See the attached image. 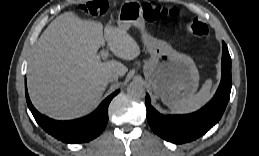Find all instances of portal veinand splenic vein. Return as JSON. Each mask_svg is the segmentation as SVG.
<instances>
[{
    "label": "portal vein and splenic vein",
    "instance_id": "obj_1",
    "mask_svg": "<svg viewBox=\"0 0 259 156\" xmlns=\"http://www.w3.org/2000/svg\"><path fill=\"white\" fill-rule=\"evenodd\" d=\"M100 56L103 60H105L108 57V51H101Z\"/></svg>",
    "mask_w": 259,
    "mask_h": 156
}]
</instances>
